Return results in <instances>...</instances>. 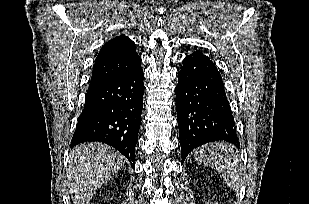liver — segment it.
Here are the masks:
<instances>
[{"label":"liver","mask_w":309,"mask_h":204,"mask_svg":"<svg viewBox=\"0 0 309 204\" xmlns=\"http://www.w3.org/2000/svg\"><path fill=\"white\" fill-rule=\"evenodd\" d=\"M125 164L124 157L103 143H85L69 156L66 186L74 204H88L96 191Z\"/></svg>","instance_id":"liver-1"}]
</instances>
